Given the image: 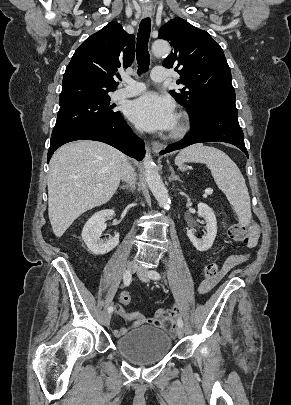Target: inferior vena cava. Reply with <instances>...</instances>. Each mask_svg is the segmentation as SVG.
I'll return each instance as SVG.
<instances>
[{
  "instance_id": "obj_1",
  "label": "inferior vena cava",
  "mask_w": 291,
  "mask_h": 405,
  "mask_svg": "<svg viewBox=\"0 0 291 405\" xmlns=\"http://www.w3.org/2000/svg\"><path fill=\"white\" fill-rule=\"evenodd\" d=\"M121 179L125 181L132 189L135 188L137 180L136 173L134 168L127 162L126 159L121 167Z\"/></svg>"
}]
</instances>
